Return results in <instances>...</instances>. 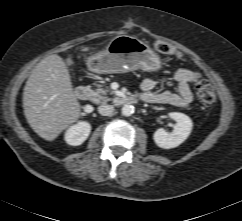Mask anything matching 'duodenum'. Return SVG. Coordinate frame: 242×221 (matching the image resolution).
Wrapping results in <instances>:
<instances>
[{"mask_svg": "<svg viewBox=\"0 0 242 221\" xmlns=\"http://www.w3.org/2000/svg\"><path fill=\"white\" fill-rule=\"evenodd\" d=\"M75 95L80 101H88L91 98V91L85 86H79L75 90ZM140 99L142 98L135 96H123L117 98L115 103L118 106L131 105L137 103Z\"/></svg>", "mask_w": 242, "mask_h": 221, "instance_id": "obj_1", "label": "duodenum"}]
</instances>
